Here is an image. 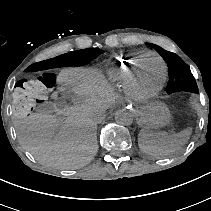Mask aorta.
<instances>
[{
    "instance_id": "obj_1",
    "label": "aorta",
    "mask_w": 211,
    "mask_h": 211,
    "mask_svg": "<svg viewBox=\"0 0 211 211\" xmlns=\"http://www.w3.org/2000/svg\"><path fill=\"white\" fill-rule=\"evenodd\" d=\"M114 118H115L116 123L120 125H125V126L131 125L134 120L133 113L126 108L117 110L115 112Z\"/></svg>"
}]
</instances>
